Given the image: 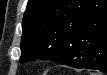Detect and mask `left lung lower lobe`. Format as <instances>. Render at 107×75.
Segmentation results:
<instances>
[{
	"label": "left lung lower lobe",
	"instance_id": "1",
	"mask_svg": "<svg viewBox=\"0 0 107 75\" xmlns=\"http://www.w3.org/2000/svg\"><path fill=\"white\" fill-rule=\"evenodd\" d=\"M96 1L76 28V37L68 48L50 52L51 60L75 67L107 73V0Z\"/></svg>",
	"mask_w": 107,
	"mask_h": 75
}]
</instances>
